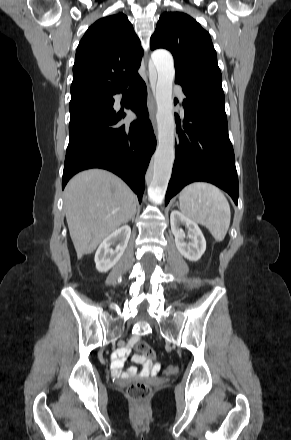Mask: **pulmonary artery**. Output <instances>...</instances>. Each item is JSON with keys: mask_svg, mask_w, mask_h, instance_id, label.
Wrapping results in <instances>:
<instances>
[{"mask_svg": "<svg viewBox=\"0 0 291 440\" xmlns=\"http://www.w3.org/2000/svg\"><path fill=\"white\" fill-rule=\"evenodd\" d=\"M174 93L178 96L179 99H183V91L181 87H175Z\"/></svg>", "mask_w": 291, "mask_h": 440, "instance_id": "e3ab8cb5", "label": "pulmonary artery"}]
</instances>
